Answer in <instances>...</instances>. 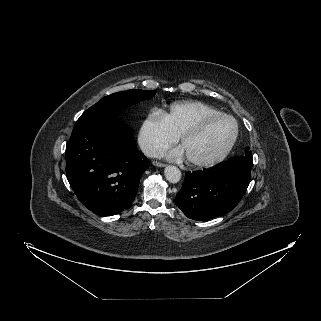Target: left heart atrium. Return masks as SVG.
I'll use <instances>...</instances> for the list:
<instances>
[{
  "label": "left heart atrium",
  "mask_w": 321,
  "mask_h": 321,
  "mask_svg": "<svg viewBox=\"0 0 321 321\" xmlns=\"http://www.w3.org/2000/svg\"><path fill=\"white\" fill-rule=\"evenodd\" d=\"M160 155H163L167 157L168 159L174 160V159H181L185 156L184 150L182 147L175 148L167 153H161Z\"/></svg>",
  "instance_id": "obj_1"
}]
</instances>
